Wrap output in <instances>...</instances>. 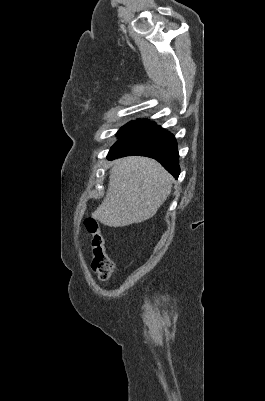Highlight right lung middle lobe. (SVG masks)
Segmentation results:
<instances>
[{"mask_svg": "<svg viewBox=\"0 0 265 401\" xmlns=\"http://www.w3.org/2000/svg\"><path fill=\"white\" fill-rule=\"evenodd\" d=\"M144 121H146V120H144V119H137V120H134V121H130L129 123H127L125 126H123V127L118 131L117 136H119V135L125 133V132L128 131L129 129L135 127L136 125H138V124H140V123H142V122H144Z\"/></svg>", "mask_w": 265, "mask_h": 401, "instance_id": "1", "label": "right lung middle lobe"}]
</instances>
